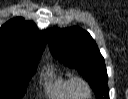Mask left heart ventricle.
<instances>
[{
    "label": "left heart ventricle",
    "mask_w": 128,
    "mask_h": 99,
    "mask_svg": "<svg viewBox=\"0 0 128 99\" xmlns=\"http://www.w3.org/2000/svg\"><path fill=\"white\" fill-rule=\"evenodd\" d=\"M78 93L80 95H86L87 94V90H86V88L84 86L79 85L78 86Z\"/></svg>",
    "instance_id": "obj_1"
}]
</instances>
